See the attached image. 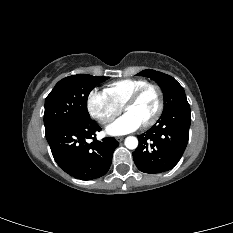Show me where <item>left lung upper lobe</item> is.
<instances>
[{
    "label": "left lung upper lobe",
    "instance_id": "left-lung-upper-lobe-1",
    "mask_svg": "<svg viewBox=\"0 0 233 233\" xmlns=\"http://www.w3.org/2000/svg\"><path fill=\"white\" fill-rule=\"evenodd\" d=\"M155 80L161 87L164 96V111L176 105L180 101L187 100L183 87L171 76L147 69L137 74Z\"/></svg>",
    "mask_w": 233,
    "mask_h": 233
}]
</instances>
